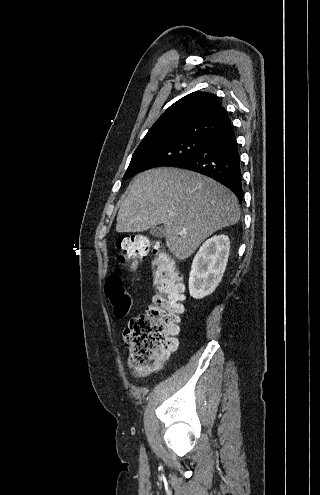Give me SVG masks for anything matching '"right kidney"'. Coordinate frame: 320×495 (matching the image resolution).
Here are the masks:
<instances>
[{
	"label": "right kidney",
	"mask_w": 320,
	"mask_h": 495,
	"mask_svg": "<svg viewBox=\"0 0 320 495\" xmlns=\"http://www.w3.org/2000/svg\"><path fill=\"white\" fill-rule=\"evenodd\" d=\"M229 250L230 240L226 235L213 236L203 243L191 266V297L202 299L214 292L225 272Z\"/></svg>",
	"instance_id": "ca27d5eb"
}]
</instances>
